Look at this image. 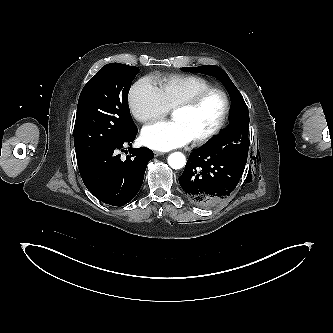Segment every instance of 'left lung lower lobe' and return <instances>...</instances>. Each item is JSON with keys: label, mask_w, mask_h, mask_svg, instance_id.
<instances>
[{"label": "left lung lower lobe", "mask_w": 333, "mask_h": 333, "mask_svg": "<svg viewBox=\"0 0 333 333\" xmlns=\"http://www.w3.org/2000/svg\"><path fill=\"white\" fill-rule=\"evenodd\" d=\"M245 165L207 146L190 154L178 178L186 198L201 207H212L238 185Z\"/></svg>", "instance_id": "0a47b994"}]
</instances>
